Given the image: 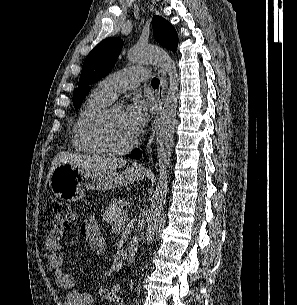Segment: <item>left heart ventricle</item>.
Segmentation results:
<instances>
[{"label":"left heart ventricle","mask_w":297,"mask_h":305,"mask_svg":"<svg viewBox=\"0 0 297 305\" xmlns=\"http://www.w3.org/2000/svg\"><path fill=\"white\" fill-rule=\"evenodd\" d=\"M104 135L108 143L114 147H122L134 139L124 122L123 111L120 108H114L105 122Z\"/></svg>","instance_id":"1"}]
</instances>
